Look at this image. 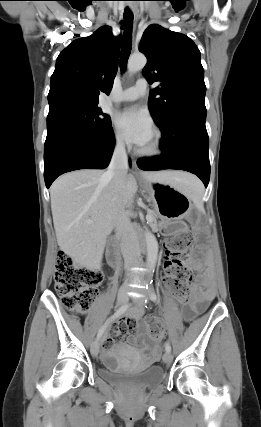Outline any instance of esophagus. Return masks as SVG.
<instances>
[{
  "label": "esophagus",
  "mask_w": 261,
  "mask_h": 427,
  "mask_svg": "<svg viewBox=\"0 0 261 427\" xmlns=\"http://www.w3.org/2000/svg\"><path fill=\"white\" fill-rule=\"evenodd\" d=\"M131 11L133 12L134 17H135V16H136V10H135V8H134V7H131ZM134 23H135V18H134ZM133 168H134V172H135V174H136V175H138V174H139V172H138L137 165H136V162H135V161L133 162Z\"/></svg>",
  "instance_id": "34e87169"
}]
</instances>
